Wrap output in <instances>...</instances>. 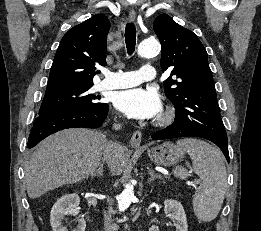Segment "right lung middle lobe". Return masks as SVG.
Listing matches in <instances>:
<instances>
[{"label": "right lung middle lobe", "instance_id": "obj_1", "mask_svg": "<svg viewBox=\"0 0 261 231\" xmlns=\"http://www.w3.org/2000/svg\"><path fill=\"white\" fill-rule=\"evenodd\" d=\"M88 87L47 88L39 116H46L70 109L96 108L105 105L98 101L99 96L90 93Z\"/></svg>", "mask_w": 261, "mask_h": 231}]
</instances>
